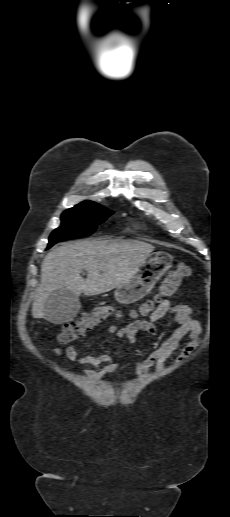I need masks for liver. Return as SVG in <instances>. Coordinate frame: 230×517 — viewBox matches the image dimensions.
Returning <instances> with one entry per match:
<instances>
[{"label":"liver","instance_id":"obj_1","mask_svg":"<svg viewBox=\"0 0 230 517\" xmlns=\"http://www.w3.org/2000/svg\"><path fill=\"white\" fill-rule=\"evenodd\" d=\"M154 249L136 240H82L55 248L42 261L33 318H46L44 305L54 291L67 290L78 298L81 293L92 296L124 285ZM83 270L86 279L80 275Z\"/></svg>","mask_w":230,"mask_h":517}]
</instances>
